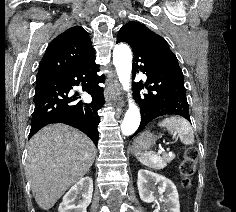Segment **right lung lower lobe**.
Listing matches in <instances>:
<instances>
[{"label": "right lung lower lobe", "mask_w": 236, "mask_h": 212, "mask_svg": "<svg viewBox=\"0 0 236 212\" xmlns=\"http://www.w3.org/2000/svg\"><path fill=\"white\" fill-rule=\"evenodd\" d=\"M98 71L94 55L68 73L37 76L29 138L48 124L66 123L84 132L97 145L98 110L103 106V92L98 83L104 81ZM79 84L91 95V103L77 101L76 94H70L73 86Z\"/></svg>", "instance_id": "obj_1"}]
</instances>
